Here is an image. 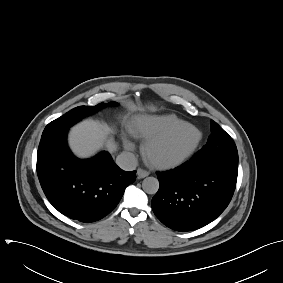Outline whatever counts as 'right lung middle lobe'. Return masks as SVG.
Instances as JSON below:
<instances>
[{
    "mask_svg": "<svg viewBox=\"0 0 283 283\" xmlns=\"http://www.w3.org/2000/svg\"><path fill=\"white\" fill-rule=\"evenodd\" d=\"M116 104V103H115ZM105 104L100 103L96 106H79L76 107L63 116L50 122L44 129L41 139L46 138L56 132L67 130L73 124L78 122L81 118L94 114L101 109Z\"/></svg>",
    "mask_w": 283,
    "mask_h": 283,
    "instance_id": "right-lung-middle-lobe-1",
    "label": "right lung middle lobe"
}]
</instances>
